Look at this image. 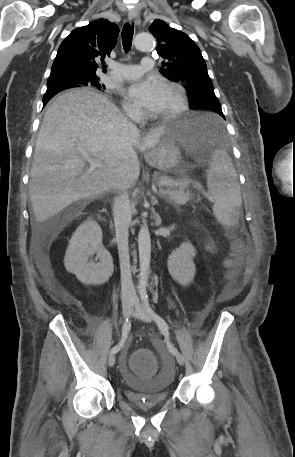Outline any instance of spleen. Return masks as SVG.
I'll list each match as a JSON object with an SVG mask.
<instances>
[{"mask_svg":"<svg viewBox=\"0 0 295 457\" xmlns=\"http://www.w3.org/2000/svg\"><path fill=\"white\" fill-rule=\"evenodd\" d=\"M208 192L214 202L213 213L224 226L237 224L242 203L237 174L224 150H216L209 161Z\"/></svg>","mask_w":295,"mask_h":457,"instance_id":"1","label":"spleen"}]
</instances>
